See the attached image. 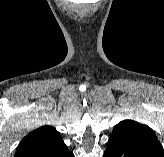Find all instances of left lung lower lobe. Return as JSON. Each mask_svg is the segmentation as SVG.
Returning <instances> with one entry per match:
<instances>
[{"label": "left lung lower lobe", "instance_id": "0a47b994", "mask_svg": "<svg viewBox=\"0 0 164 157\" xmlns=\"http://www.w3.org/2000/svg\"><path fill=\"white\" fill-rule=\"evenodd\" d=\"M108 143L109 146L105 150L103 157H153L146 152L121 141L110 138Z\"/></svg>", "mask_w": 164, "mask_h": 157}]
</instances>
